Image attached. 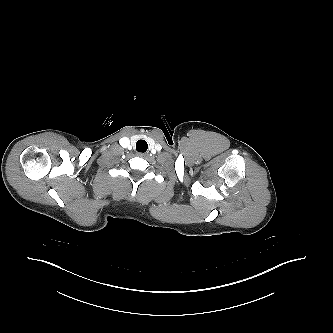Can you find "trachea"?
<instances>
[{
    "mask_svg": "<svg viewBox=\"0 0 333 333\" xmlns=\"http://www.w3.org/2000/svg\"><path fill=\"white\" fill-rule=\"evenodd\" d=\"M147 148H148V144L145 140L140 139L137 141L136 150L138 152L144 153V152H146Z\"/></svg>",
    "mask_w": 333,
    "mask_h": 333,
    "instance_id": "1",
    "label": "trachea"
}]
</instances>
